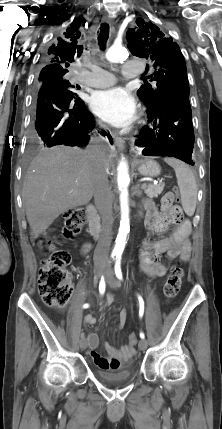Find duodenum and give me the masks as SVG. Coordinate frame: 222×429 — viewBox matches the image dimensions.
<instances>
[{
	"label": "duodenum",
	"instance_id": "410a0bca",
	"mask_svg": "<svg viewBox=\"0 0 222 429\" xmlns=\"http://www.w3.org/2000/svg\"><path fill=\"white\" fill-rule=\"evenodd\" d=\"M86 213L89 233L97 239L101 234V225L95 206L89 204L86 207Z\"/></svg>",
	"mask_w": 222,
	"mask_h": 429
}]
</instances>
